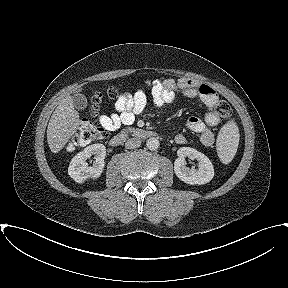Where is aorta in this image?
Wrapping results in <instances>:
<instances>
[{
	"mask_svg": "<svg viewBox=\"0 0 288 288\" xmlns=\"http://www.w3.org/2000/svg\"><path fill=\"white\" fill-rule=\"evenodd\" d=\"M146 146L149 150H157L160 146L159 140L157 138L151 137L146 141Z\"/></svg>",
	"mask_w": 288,
	"mask_h": 288,
	"instance_id": "762f6f07",
	"label": "aorta"
}]
</instances>
